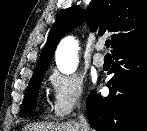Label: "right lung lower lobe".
<instances>
[{"mask_svg":"<svg viewBox=\"0 0 147 131\" xmlns=\"http://www.w3.org/2000/svg\"><path fill=\"white\" fill-rule=\"evenodd\" d=\"M112 53L110 93L106 98L90 94L89 122L97 131H147V33Z\"/></svg>","mask_w":147,"mask_h":131,"instance_id":"obj_1","label":"right lung lower lobe"}]
</instances>
